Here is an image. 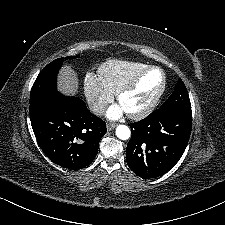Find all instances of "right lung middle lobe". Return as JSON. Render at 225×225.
Listing matches in <instances>:
<instances>
[{"instance_id":"obj_1","label":"right lung middle lobe","mask_w":225,"mask_h":225,"mask_svg":"<svg viewBox=\"0 0 225 225\" xmlns=\"http://www.w3.org/2000/svg\"><path fill=\"white\" fill-rule=\"evenodd\" d=\"M77 56H71L67 58H77ZM64 58H58L51 63H49L43 70L39 73L36 81L34 82L31 93H30V103L46 96L50 93L57 92L56 89V76L58 70L62 66Z\"/></svg>"}]
</instances>
